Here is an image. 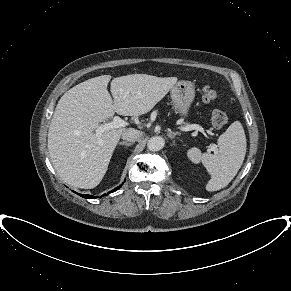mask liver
Segmentation results:
<instances>
[{
  "label": "liver",
  "instance_id": "6515ba94",
  "mask_svg": "<svg viewBox=\"0 0 291 291\" xmlns=\"http://www.w3.org/2000/svg\"><path fill=\"white\" fill-rule=\"evenodd\" d=\"M88 79L59 100L48 130L51 162L60 178L74 187L92 189L103 179L125 128L96 134L99 124L115 112L138 117L151 111L177 83L176 77L147 74Z\"/></svg>",
  "mask_w": 291,
  "mask_h": 291
}]
</instances>
